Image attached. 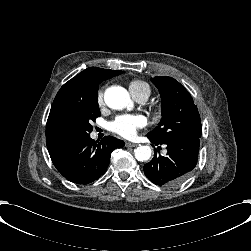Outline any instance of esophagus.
I'll list each match as a JSON object with an SVG mask.
<instances>
[{
  "instance_id": "34e87169",
  "label": "esophagus",
  "mask_w": 251,
  "mask_h": 251,
  "mask_svg": "<svg viewBox=\"0 0 251 251\" xmlns=\"http://www.w3.org/2000/svg\"><path fill=\"white\" fill-rule=\"evenodd\" d=\"M138 144L132 143V142H125L126 147H136Z\"/></svg>"
}]
</instances>
